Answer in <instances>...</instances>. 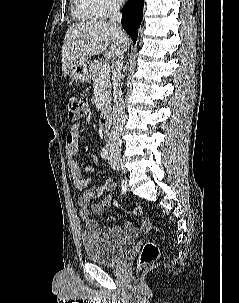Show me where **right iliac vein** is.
Segmentation results:
<instances>
[{
    "label": "right iliac vein",
    "instance_id": "obj_1",
    "mask_svg": "<svg viewBox=\"0 0 239 303\" xmlns=\"http://www.w3.org/2000/svg\"><path fill=\"white\" fill-rule=\"evenodd\" d=\"M117 162H118L119 164H121V163H122V161H121V159H120V158H117Z\"/></svg>",
    "mask_w": 239,
    "mask_h": 303
}]
</instances>
